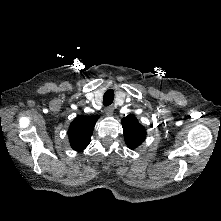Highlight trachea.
<instances>
[{
  "label": "trachea",
  "instance_id": "1",
  "mask_svg": "<svg viewBox=\"0 0 221 221\" xmlns=\"http://www.w3.org/2000/svg\"><path fill=\"white\" fill-rule=\"evenodd\" d=\"M114 100V91L112 89H109L105 92L103 96V105L109 106L113 103Z\"/></svg>",
  "mask_w": 221,
  "mask_h": 221
}]
</instances>
